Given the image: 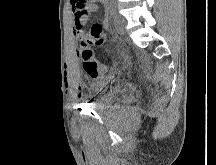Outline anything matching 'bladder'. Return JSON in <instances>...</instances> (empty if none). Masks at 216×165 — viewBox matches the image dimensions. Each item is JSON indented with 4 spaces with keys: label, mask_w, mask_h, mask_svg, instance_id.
Returning <instances> with one entry per match:
<instances>
[{
    "label": "bladder",
    "mask_w": 216,
    "mask_h": 165,
    "mask_svg": "<svg viewBox=\"0 0 216 165\" xmlns=\"http://www.w3.org/2000/svg\"><path fill=\"white\" fill-rule=\"evenodd\" d=\"M120 76L103 75L96 77L93 81V89L95 97L91 102V107L96 110L107 109L116 99L119 91L116 86H119Z\"/></svg>",
    "instance_id": "obj_1"
}]
</instances>
